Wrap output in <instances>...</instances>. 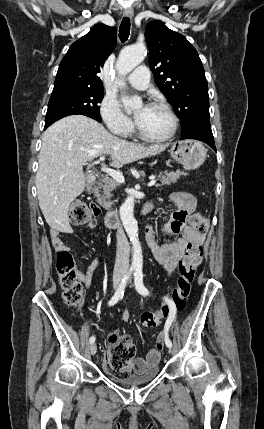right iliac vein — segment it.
Returning a JSON list of instances; mask_svg holds the SVG:
<instances>
[{
    "mask_svg": "<svg viewBox=\"0 0 264 429\" xmlns=\"http://www.w3.org/2000/svg\"><path fill=\"white\" fill-rule=\"evenodd\" d=\"M121 278H122V272H116L115 275H114V278H113V288H114V290L118 289L120 281H121ZM89 349H90V353L92 355H95V353L97 351V345H96V343H92L90 345Z\"/></svg>",
    "mask_w": 264,
    "mask_h": 429,
    "instance_id": "63e3f726",
    "label": "right iliac vein"
}]
</instances>
